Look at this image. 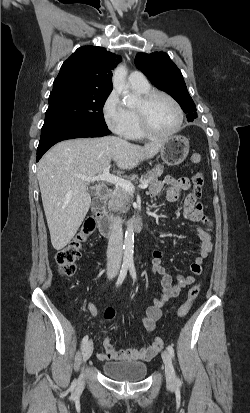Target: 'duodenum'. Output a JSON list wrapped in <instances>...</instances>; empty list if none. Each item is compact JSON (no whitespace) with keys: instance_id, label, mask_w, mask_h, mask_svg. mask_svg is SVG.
<instances>
[{"instance_id":"1","label":"duodenum","mask_w":250,"mask_h":413,"mask_svg":"<svg viewBox=\"0 0 250 413\" xmlns=\"http://www.w3.org/2000/svg\"><path fill=\"white\" fill-rule=\"evenodd\" d=\"M110 196L111 191L107 190L105 193L95 198L91 206V214L95 220V223L100 233L105 237L111 236L115 229L114 222L105 210L106 201ZM126 224L128 227L138 232L144 227V219L141 216L133 217Z\"/></svg>"}]
</instances>
